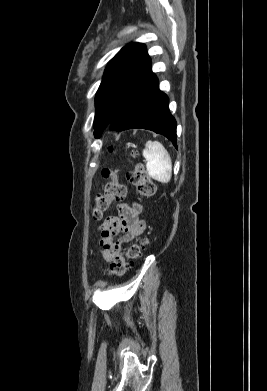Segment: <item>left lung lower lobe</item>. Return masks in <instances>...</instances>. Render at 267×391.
I'll use <instances>...</instances> for the list:
<instances>
[{"label":"left lung lower lobe","mask_w":267,"mask_h":391,"mask_svg":"<svg viewBox=\"0 0 267 391\" xmlns=\"http://www.w3.org/2000/svg\"><path fill=\"white\" fill-rule=\"evenodd\" d=\"M168 102V97L159 90L156 75L150 71L122 100L108 126L117 131L151 130L165 136L177 148L176 120Z\"/></svg>","instance_id":"obj_1"}]
</instances>
